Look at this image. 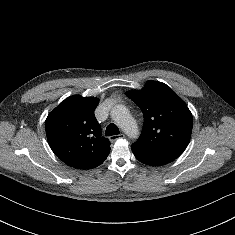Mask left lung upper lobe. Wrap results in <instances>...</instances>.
<instances>
[{
  "instance_id": "obj_1",
  "label": "left lung upper lobe",
  "mask_w": 235,
  "mask_h": 235,
  "mask_svg": "<svg viewBox=\"0 0 235 235\" xmlns=\"http://www.w3.org/2000/svg\"><path fill=\"white\" fill-rule=\"evenodd\" d=\"M126 95L143 112L144 125L131 147L177 158L187 147L193 118L186 103L166 84L148 81L141 90Z\"/></svg>"
}]
</instances>
